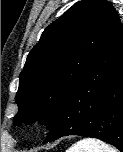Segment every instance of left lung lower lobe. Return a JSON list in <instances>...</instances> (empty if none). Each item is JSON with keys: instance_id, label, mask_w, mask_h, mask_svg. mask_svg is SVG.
<instances>
[{"instance_id": "left-lung-lower-lobe-1", "label": "left lung lower lobe", "mask_w": 123, "mask_h": 152, "mask_svg": "<svg viewBox=\"0 0 123 152\" xmlns=\"http://www.w3.org/2000/svg\"><path fill=\"white\" fill-rule=\"evenodd\" d=\"M67 135L98 138L123 152V27L120 21L63 99L44 143Z\"/></svg>"}]
</instances>
